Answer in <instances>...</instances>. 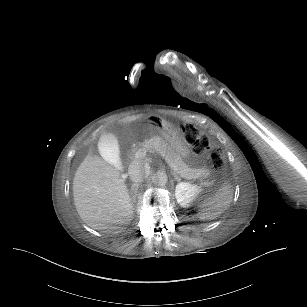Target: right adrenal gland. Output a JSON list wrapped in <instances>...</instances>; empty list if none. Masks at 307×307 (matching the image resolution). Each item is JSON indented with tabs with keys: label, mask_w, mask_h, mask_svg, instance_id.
<instances>
[{
	"label": "right adrenal gland",
	"mask_w": 307,
	"mask_h": 307,
	"mask_svg": "<svg viewBox=\"0 0 307 307\" xmlns=\"http://www.w3.org/2000/svg\"><path fill=\"white\" fill-rule=\"evenodd\" d=\"M135 186H136V184H133V185H132V188H131V193L133 194V196H132V198H131V201H132V200H133V201L136 200V194L133 193V191H132V189H133Z\"/></svg>",
	"instance_id": "right-adrenal-gland-1"
}]
</instances>
